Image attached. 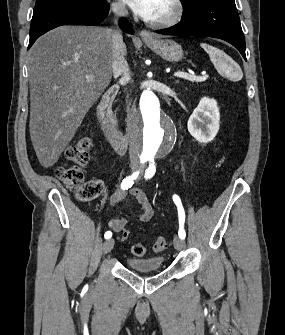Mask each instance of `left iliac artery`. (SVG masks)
Masks as SVG:
<instances>
[{
	"label": "left iliac artery",
	"mask_w": 285,
	"mask_h": 335,
	"mask_svg": "<svg viewBox=\"0 0 285 335\" xmlns=\"http://www.w3.org/2000/svg\"><path fill=\"white\" fill-rule=\"evenodd\" d=\"M156 172V167L154 165V160L150 159V164L148 169H146L145 171V178L146 179H150L153 177V175ZM173 201L176 204V206L178 207V216H179V231H178V235L181 239H184L186 236L185 230H184V222H185V212L181 203V200L179 198V196L177 195H173Z\"/></svg>",
	"instance_id": "1"
}]
</instances>
